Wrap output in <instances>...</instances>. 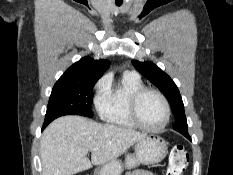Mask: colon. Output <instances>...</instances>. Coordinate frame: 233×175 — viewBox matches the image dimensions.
Instances as JSON below:
<instances>
[{"mask_svg":"<svg viewBox=\"0 0 233 175\" xmlns=\"http://www.w3.org/2000/svg\"><path fill=\"white\" fill-rule=\"evenodd\" d=\"M189 163V153L183 145H175L169 153L166 175H182Z\"/></svg>","mask_w":233,"mask_h":175,"instance_id":"5ec220e1","label":"colon"}]
</instances>
